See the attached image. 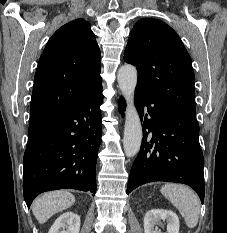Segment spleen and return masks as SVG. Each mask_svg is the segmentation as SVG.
Returning <instances> with one entry per match:
<instances>
[{
	"label": "spleen",
	"mask_w": 227,
	"mask_h": 233,
	"mask_svg": "<svg viewBox=\"0 0 227 233\" xmlns=\"http://www.w3.org/2000/svg\"><path fill=\"white\" fill-rule=\"evenodd\" d=\"M160 191L178 209L188 228L197 226L200 201L191 188L181 184L167 183L161 187Z\"/></svg>",
	"instance_id": "spleen-1"
}]
</instances>
